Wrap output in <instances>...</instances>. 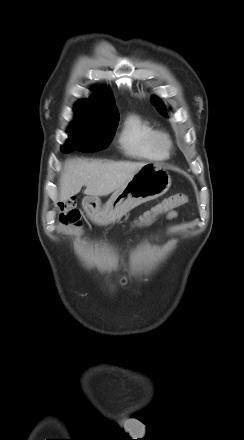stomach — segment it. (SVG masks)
<instances>
[{
  "label": "stomach",
  "instance_id": "obj_1",
  "mask_svg": "<svg viewBox=\"0 0 244 440\" xmlns=\"http://www.w3.org/2000/svg\"><path fill=\"white\" fill-rule=\"evenodd\" d=\"M171 186V177L159 164L147 163L113 193L105 205L98 197L83 199L89 219L98 225L114 223L133 208L164 195Z\"/></svg>",
  "mask_w": 244,
  "mask_h": 440
}]
</instances>
